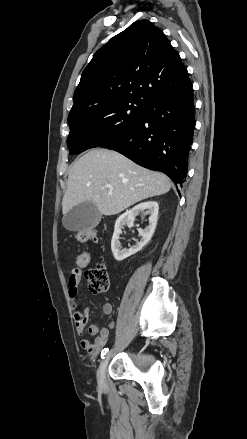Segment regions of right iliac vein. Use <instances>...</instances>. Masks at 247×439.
Masks as SVG:
<instances>
[{
  "label": "right iliac vein",
  "mask_w": 247,
  "mask_h": 439,
  "mask_svg": "<svg viewBox=\"0 0 247 439\" xmlns=\"http://www.w3.org/2000/svg\"><path fill=\"white\" fill-rule=\"evenodd\" d=\"M112 351H110L101 361L97 371V381L100 386H104L106 383V370L110 361Z\"/></svg>",
  "instance_id": "1"
}]
</instances>
